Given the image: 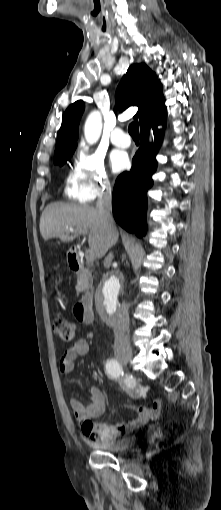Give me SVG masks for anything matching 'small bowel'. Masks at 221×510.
<instances>
[{
  "label": "small bowel",
  "mask_w": 221,
  "mask_h": 510,
  "mask_svg": "<svg viewBox=\"0 0 221 510\" xmlns=\"http://www.w3.org/2000/svg\"><path fill=\"white\" fill-rule=\"evenodd\" d=\"M88 351V343L85 339H78L68 349L65 350L58 362L59 371L64 375H69L74 370V364L77 358L85 355ZM130 396H135L136 388L126 387ZM89 401L84 404L77 398H71L69 405L78 419L83 434L92 440L98 442H111L119 436L134 430L152 419L159 417L163 411V400L157 398L150 407L134 404H125L124 408L134 413V416L126 423L107 424L92 422L91 419L98 418L106 410L105 397L97 386H91L88 389Z\"/></svg>",
  "instance_id": "1"
}]
</instances>
